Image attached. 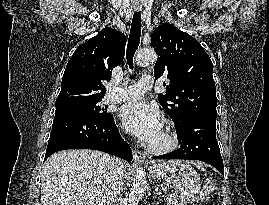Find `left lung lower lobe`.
I'll return each instance as SVG.
<instances>
[{
  "instance_id": "left-lung-lower-lobe-1",
  "label": "left lung lower lobe",
  "mask_w": 269,
  "mask_h": 205,
  "mask_svg": "<svg viewBox=\"0 0 269 205\" xmlns=\"http://www.w3.org/2000/svg\"><path fill=\"white\" fill-rule=\"evenodd\" d=\"M176 132L181 140L180 148L153 159L200 160L224 175L223 160L216 140V115L204 114L190 118Z\"/></svg>"
}]
</instances>
